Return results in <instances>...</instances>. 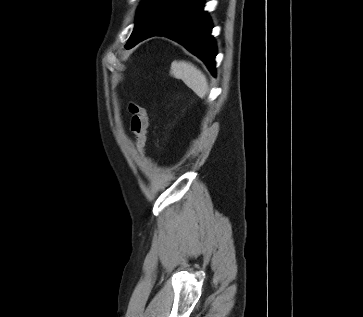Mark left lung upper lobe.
Returning a JSON list of instances; mask_svg holds the SVG:
<instances>
[{
    "label": "left lung upper lobe",
    "instance_id": "left-lung-upper-lobe-1",
    "mask_svg": "<svg viewBox=\"0 0 363 317\" xmlns=\"http://www.w3.org/2000/svg\"><path fill=\"white\" fill-rule=\"evenodd\" d=\"M157 2H158V0H143L142 4L138 8L134 30H133L125 48L132 47L134 45V43L139 38H141V36L145 32V30L150 22L152 12H153Z\"/></svg>",
    "mask_w": 363,
    "mask_h": 317
}]
</instances>
